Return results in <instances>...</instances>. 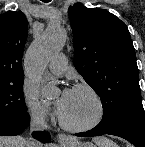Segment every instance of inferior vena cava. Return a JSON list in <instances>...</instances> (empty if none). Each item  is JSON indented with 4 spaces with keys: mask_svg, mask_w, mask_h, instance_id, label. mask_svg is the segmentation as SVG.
Listing matches in <instances>:
<instances>
[{
    "mask_svg": "<svg viewBox=\"0 0 145 147\" xmlns=\"http://www.w3.org/2000/svg\"><path fill=\"white\" fill-rule=\"evenodd\" d=\"M30 128L31 131L44 130L46 128L44 114L42 112L32 114ZM27 147H41V144L34 139H30L27 141Z\"/></svg>",
    "mask_w": 145,
    "mask_h": 147,
    "instance_id": "1",
    "label": "inferior vena cava"
}]
</instances>
